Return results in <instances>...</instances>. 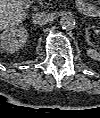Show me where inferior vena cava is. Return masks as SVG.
<instances>
[{"label":"inferior vena cava","mask_w":100,"mask_h":118,"mask_svg":"<svg viewBox=\"0 0 100 118\" xmlns=\"http://www.w3.org/2000/svg\"><path fill=\"white\" fill-rule=\"evenodd\" d=\"M51 21V17L49 14L44 12L36 13L33 16V23L39 26L45 25Z\"/></svg>","instance_id":"obj_1"}]
</instances>
